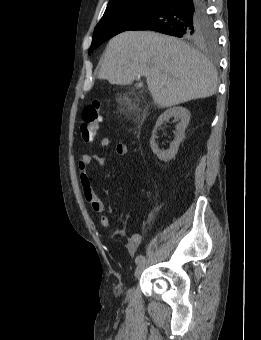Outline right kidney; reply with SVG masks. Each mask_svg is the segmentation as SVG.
Returning a JSON list of instances; mask_svg holds the SVG:
<instances>
[{
  "instance_id": "obj_1",
  "label": "right kidney",
  "mask_w": 261,
  "mask_h": 340,
  "mask_svg": "<svg viewBox=\"0 0 261 340\" xmlns=\"http://www.w3.org/2000/svg\"><path fill=\"white\" fill-rule=\"evenodd\" d=\"M172 117H174L177 121L180 120V122L176 126V138L173 140L168 150L160 151L155 142V133L160 125H162L165 121H168ZM189 120L190 112L184 107L170 108L159 116L152 133L150 146L153 153L156 154L160 160L168 162L175 157V155L178 152V147L184 138V133L189 123Z\"/></svg>"
}]
</instances>
